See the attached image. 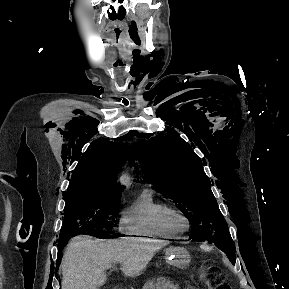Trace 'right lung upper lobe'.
I'll use <instances>...</instances> for the list:
<instances>
[{"label":"right lung upper lobe","instance_id":"1","mask_svg":"<svg viewBox=\"0 0 289 289\" xmlns=\"http://www.w3.org/2000/svg\"><path fill=\"white\" fill-rule=\"evenodd\" d=\"M128 145L92 142L70 178L67 198L120 194L116 176L127 157Z\"/></svg>","mask_w":289,"mask_h":289}]
</instances>
